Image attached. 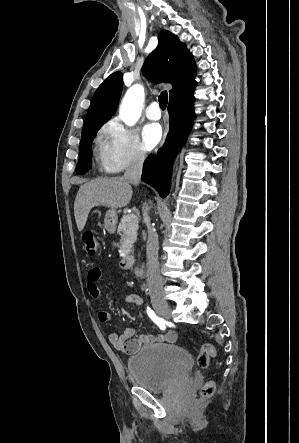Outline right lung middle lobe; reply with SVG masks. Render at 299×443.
Wrapping results in <instances>:
<instances>
[{
	"mask_svg": "<svg viewBox=\"0 0 299 443\" xmlns=\"http://www.w3.org/2000/svg\"><path fill=\"white\" fill-rule=\"evenodd\" d=\"M100 127L93 128L82 134L80 145V158L76 166V172L80 174L86 173L92 166V147L90 142L95 137Z\"/></svg>",
	"mask_w": 299,
	"mask_h": 443,
	"instance_id": "dd1d6c3e",
	"label": "right lung middle lobe"
}]
</instances>
